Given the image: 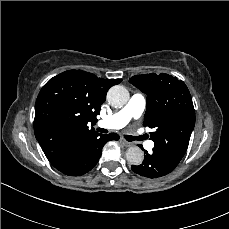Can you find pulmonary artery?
<instances>
[{"instance_id": "pulmonary-artery-1", "label": "pulmonary artery", "mask_w": 229, "mask_h": 229, "mask_svg": "<svg viewBox=\"0 0 229 229\" xmlns=\"http://www.w3.org/2000/svg\"><path fill=\"white\" fill-rule=\"evenodd\" d=\"M146 107V100L141 93L134 94L125 106L114 113L111 118L107 120H100L97 126L108 129H119L128 124L132 119H138L143 114ZM153 142H148L146 148L152 150Z\"/></svg>"}]
</instances>
